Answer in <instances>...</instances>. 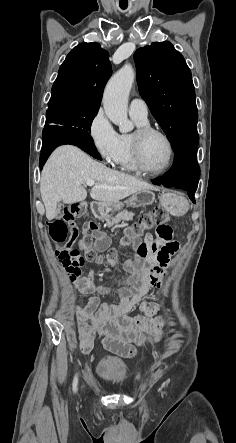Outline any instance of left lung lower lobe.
Masks as SVG:
<instances>
[{
	"label": "left lung lower lobe",
	"mask_w": 236,
	"mask_h": 443,
	"mask_svg": "<svg viewBox=\"0 0 236 443\" xmlns=\"http://www.w3.org/2000/svg\"><path fill=\"white\" fill-rule=\"evenodd\" d=\"M198 143L199 138L181 145L175 151L172 168L159 178L158 181L154 182L155 185L162 184L165 187H176L186 190L193 203H195L194 194L200 176V168L197 163Z\"/></svg>",
	"instance_id": "1"
}]
</instances>
